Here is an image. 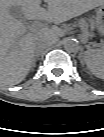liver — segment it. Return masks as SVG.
<instances>
[{
    "label": "liver",
    "instance_id": "1",
    "mask_svg": "<svg viewBox=\"0 0 104 137\" xmlns=\"http://www.w3.org/2000/svg\"><path fill=\"white\" fill-rule=\"evenodd\" d=\"M47 10L40 6V0H1L0 7V82L3 85L20 83L36 58V48L52 38L56 40L60 31L40 29L28 31L29 26L17 20L9 5L18 7L28 19L52 22L67 21L97 6L103 0H46ZM53 40V41H54Z\"/></svg>",
    "mask_w": 104,
    "mask_h": 137
}]
</instances>
